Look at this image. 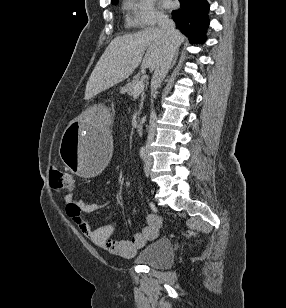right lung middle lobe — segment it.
<instances>
[{
    "label": "right lung middle lobe",
    "mask_w": 286,
    "mask_h": 308,
    "mask_svg": "<svg viewBox=\"0 0 286 308\" xmlns=\"http://www.w3.org/2000/svg\"><path fill=\"white\" fill-rule=\"evenodd\" d=\"M117 2H118V0H113V1H112V4L116 5Z\"/></svg>",
    "instance_id": "right-lung-middle-lobe-1"
}]
</instances>
